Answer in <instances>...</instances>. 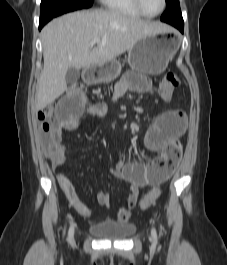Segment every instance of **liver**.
I'll return each instance as SVG.
<instances>
[{"label": "liver", "instance_id": "obj_1", "mask_svg": "<svg viewBox=\"0 0 227 265\" xmlns=\"http://www.w3.org/2000/svg\"><path fill=\"white\" fill-rule=\"evenodd\" d=\"M167 31L157 23L118 11H78L49 22L42 30L44 67L38 81L36 110L54 102L67 89L69 68H89L114 60L139 39ZM100 43L90 48L92 39Z\"/></svg>", "mask_w": 227, "mask_h": 265}]
</instances>
